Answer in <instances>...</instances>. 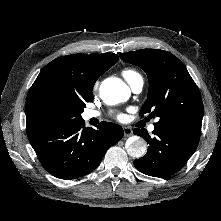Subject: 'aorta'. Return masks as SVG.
I'll return each mask as SVG.
<instances>
[{"instance_id": "1", "label": "aorta", "mask_w": 221, "mask_h": 221, "mask_svg": "<svg viewBox=\"0 0 221 221\" xmlns=\"http://www.w3.org/2000/svg\"><path fill=\"white\" fill-rule=\"evenodd\" d=\"M101 99L108 105L123 102L129 97L128 87L118 78L105 79L99 89ZM127 153L134 158H141L147 151L146 141L138 136L130 137L126 143Z\"/></svg>"}]
</instances>
